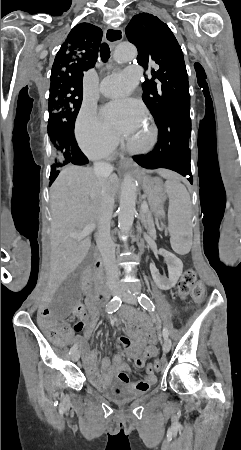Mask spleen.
<instances>
[{
    "label": "spleen",
    "instance_id": "spleen-1",
    "mask_svg": "<svg viewBox=\"0 0 241 450\" xmlns=\"http://www.w3.org/2000/svg\"><path fill=\"white\" fill-rule=\"evenodd\" d=\"M160 176L166 178L165 192L169 198L167 225L171 229V248L176 254L185 256V254H189L192 248V230L189 228L191 210L189 192H187L180 180L173 178L165 170L160 172Z\"/></svg>",
    "mask_w": 241,
    "mask_h": 450
}]
</instances>
